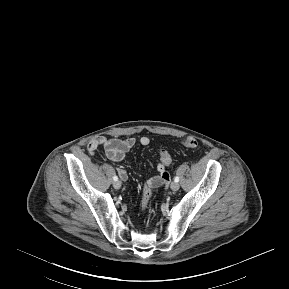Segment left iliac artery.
<instances>
[{
  "mask_svg": "<svg viewBox=\"0 0 289 289\" xmlns=\"http://www.w3.org/2000/svg\"><path fill=\"white\" fill-rule=\"evenodd\" d=\"M174 181H175V182H179V177L176 176V177L174 178Z\"/></svg>",
  "mask_w": 289,
  "mask_h": 289,
  "instance_id": "1",
  "label": "left iliac artery"
}]
</instances>
